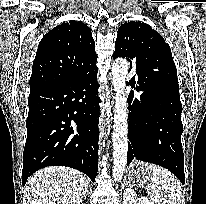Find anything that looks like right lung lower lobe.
Returning <instances> with one entry per match:
<instances>
[{"label":"right lung lower lobe","instance_id":"98d812e1","mask_svg":"<svg viewBox=\"0 0 206 204\" xmlns=\"http://www.w3.org/2000/svg\"><path fill=\"white\" fill-rule=\"evenodd\" d=\"M95 66L79 78L30 90L22 184L46 166H68L94 182L99 101Z\"/></svg>","mask_w":206,"mask_h":204}]
</instances>
